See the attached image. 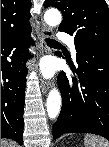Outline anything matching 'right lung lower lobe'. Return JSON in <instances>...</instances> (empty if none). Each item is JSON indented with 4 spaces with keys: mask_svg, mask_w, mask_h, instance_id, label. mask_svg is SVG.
<instances>
[{
    "mask_svg": "<svg viewBox=\"0 0 109 147\" xmlns=\"http://www.w3.org/2000/svg\"><path fill=\"white\" fill-rule=\"evenodd\" d=\"M31 29L1 41V137L23 144V109L27 68L25 50ZM12 53V56L9 55ZM12 60L9 62L7 58Z\"/></svg>",
    "mask_w": 109,
    "mask_h": 147,
    "instance_id": "obj_1",
    "label": "right lung lower lobe"
}]
</instances>
